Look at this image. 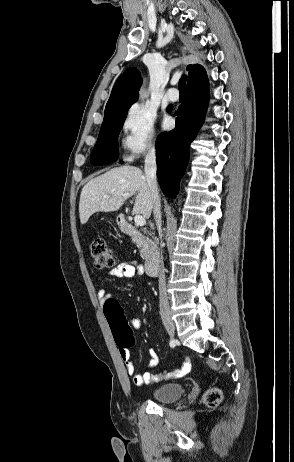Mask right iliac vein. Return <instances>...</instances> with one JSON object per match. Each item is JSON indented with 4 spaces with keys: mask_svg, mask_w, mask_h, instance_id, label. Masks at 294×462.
I'll return each mask as SVG.
<instances>
[{
    "mask_svg": "<svg viewBox=\"0 0 294 462\" xmlns=\"http://www.w3.org/2000/svg\"><path fill=\"white\" fill-rule=\"evenodd\" d=\"M163 324L167 330V332L171 335L174 336L175 333V324L173 320L171 319L170 315H164L162 317Z\"/></svg>",
    "mask_w": 294,
    "mask_h": 462,
    "instance_id": "right-iliac-vein-1",
    "label": "right iliac vein"
}]
</instances>
